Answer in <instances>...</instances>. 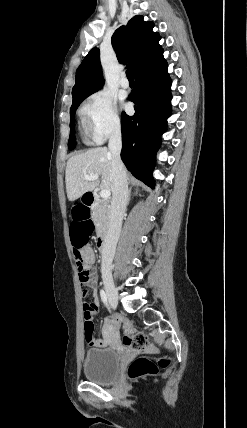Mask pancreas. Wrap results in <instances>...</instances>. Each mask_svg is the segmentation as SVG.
Returning a JSON list of instances; mask_svg holds the SVG:
<instances>
[{"label":"pancreas","mask_w":247,"mask_h":428,"mask_svg":"<svg viewBox=\"0 0 247 428\" xmlns=\"http://www.w3.org/2000/svg\"><path fill=\"white\" fill-rule=\"evenodd\" d=\"M92 215L97 229H107L109 223V208L105 202L99 200L93 207Z\"/></svg>","instance_id":"pancreas-1"}]
</instances>
